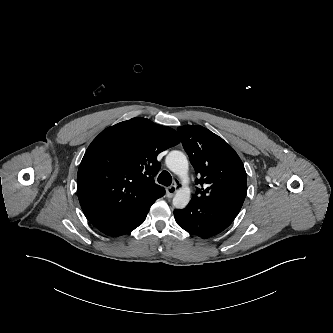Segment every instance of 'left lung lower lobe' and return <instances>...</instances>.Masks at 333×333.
<instances>
[{
	"mask_svg": "<svg viewBox=\"0 0 333 333\" xmlns=\"http://www.w3.org/2000/svg\"><path fill=\"white\" fill-rule=\"evenodd\" d=\"M244 199L241 192H225L203 200L192 198L186 208L174 211V217L184 230L211 237L232 223Z\"/></svg>",
	"mask_w": 333,
	"mask_h": 333,
	"instance_id": "1",
	"label": "left lung lower lobe"
}]
</instances>
